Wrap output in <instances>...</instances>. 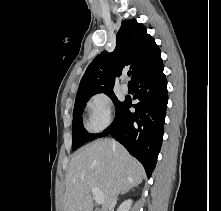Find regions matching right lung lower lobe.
<instances>
[{"label":"right lung lower lobe","instance_id":"98d812e1","mask_svg":"<svg viewBox=\"0 0 221 211\" xmlns=\"http://www.w3.org/2000/svg\"><path fill=\"white\" fill-rule=\"evenodd\" d=\"M163 68L161 64L133 80L134 99L139 102L132 105L131 99H126L116 111L113 123L98 135L111 134L143 164L148 177L155 168L164 134L168 94ZM130 107L136 111L131 113Z\"/></svg>","mask_w":221,"mask_h":211}]
</instances>
